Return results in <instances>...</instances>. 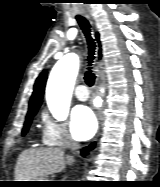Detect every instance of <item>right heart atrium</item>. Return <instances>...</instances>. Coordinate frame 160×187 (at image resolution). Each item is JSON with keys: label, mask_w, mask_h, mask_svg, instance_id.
I'll use <instances>...</instances> for the list:
<instances>
[{"label": "right heart atrium", "mask_w": 160, "mask_h": 187, "mask_svg": "<svg viewBox=\"0 0 160 187\" xmlns=\"http://www.w3.org/2000/svg\"><path fill=\"white\" fill-rule=\"evenodd\" d=\"M42 120V140L47 146L72 147L75 140L67 126L44 112Z\"/></svg>", "instance_id": "right-heart-atrium-1"}]
</instances>
